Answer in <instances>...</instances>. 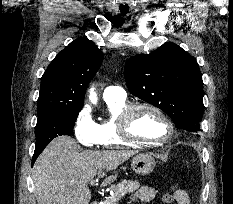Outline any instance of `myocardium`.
Instances as JSON below:
<instances>
[{
	"label": "myocardium",
	"instance_id": "obj_1",
	"mask_svg": "<svg viewBox=\"0 0 233 204\" xmlns=\"http://www.w3.org/2000/svg\"><path fill=\"white\" fill-rule=\"evenodd\" d=\"M140 110H149L157 114L167 125L168 134L162 140H147L136 137L131 131V125L135 114ZM118 130L120 137L127 143L142 146H161L174 137L175 127L169 116L158 106L151 103H135L127 106L119 116Z\"/></svg>",
	"mask_w": 233,
	"mask_h": 204
}]
</instances>
